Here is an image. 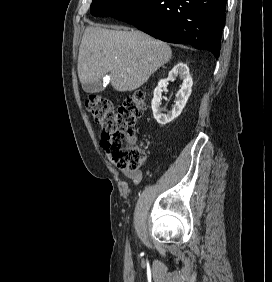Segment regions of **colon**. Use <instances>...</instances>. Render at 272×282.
<instances>
[{
  "instance_id": "obj_1",
  "label": "colon",
  "mask_w": 272,
  "mask_h": 282,
  "mask_svg": "<svg viewBox=\"0 0 272 282\" xmlns=\"http://www.w3.org/2000/svg\"><path fill=\"white\" fill-rule=\"evenodd\" d=\"M85 106L94 120L106 130L101 137V146L111 163L120 169L135 170L141 167L145 154L133 143V126L145 111L144 93H133L117 107L105 98L91 96Z\"/></svg>"
}]
</instances>
